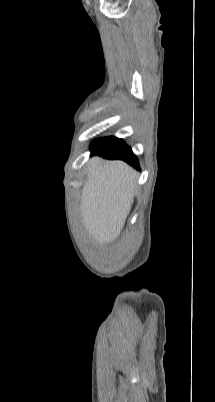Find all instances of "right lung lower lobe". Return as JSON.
<instances>
[{
	"mask_svg": "<svg viewBox=\"0 0 215 402\" xmlns=\"http://www.w3.org/2000/svg\"><path fill=\"white\" fill-rule=\"evenodd\" d=\"M91 151L107 159H122L136 169H139L137 157L122 140L114 145H91Z\"/></svg>",
	"mask_w": 215,
	"mask_h": 402,
	"instance_id": "obj_1",
	"label": "right lung lower lobe"
}]
</instances>
